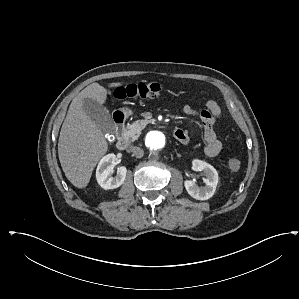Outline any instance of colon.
Masks as SVG:
<instances>
[{"label":"colon","instance_id":"5ec220e1","mask_svg":"<svg viewBox=\"0 0 299 299\" xmlns=\"http://www.w3.org/2000/svg\"><path fill=\"white\" fill-rule=\"evenodd\" d=\"M162 91V86L156 82H139L120 86L114 90V96L117 99H137V98H154ZM231 170L236 171L241 167V161L238 158H232L228 162Z\"/></svg>","mask_w":299,"mask_h":299}]
</instances>
